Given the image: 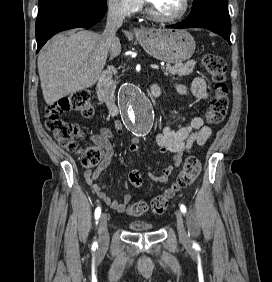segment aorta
I'll return each mask as SVG.
<instances>
[{
    "label": "aorta",
    "instance_id": "aorta-1",
    "mask_svg": "<svg viewBox=\"0 0 272 282\" xmlns=\"http://www.w3.org/2000/svg\"><path fill=\"white\" fill-rule=\"evenodd\" d=\"M120 108L126 124L134 133L145 135L150 132L155 117L154 109L138 85L127 84L122 89Z\"/></svg>",
    "mask_w": 272,
    "mask_h": 282
}]
</instances>
